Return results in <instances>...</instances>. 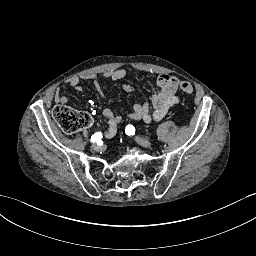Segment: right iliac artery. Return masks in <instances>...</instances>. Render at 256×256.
<instances>
[{
  "label": "right iliac artery",
  "mask_w": 256,
  "mask_h": 256,
  "mask_svg": "<svg viewBox=\"0 0 256 256\" xmlns=\"http://www.w3.org/2000/svg\"><path fill=\"white\" fill-rule=\"evenodd\" d=\"M102 138V133L101 132H97L94 135H92L91 137V142H98L100 139Z\"/></svg>",
  "instance_id": "right-iliac-artery-1"
}]
</instances>
